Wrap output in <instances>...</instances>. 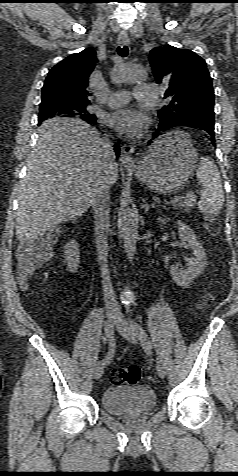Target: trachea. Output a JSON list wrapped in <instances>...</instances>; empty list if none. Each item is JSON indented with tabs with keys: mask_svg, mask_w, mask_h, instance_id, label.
Listing matches in <instances>:
<instances>
[{
	"mask_svg": "<svg viewBox=\"0 0 238 476\" xmlns=\"http://www.w3.org/2000/svg\"><path fill=\"white\" fill-rule=\"evenodd\" d=\"M128 47L127 46H123L122 48L121 47H118L117 48V53L121 56V57H126L128 55Z\"/></svg>",
	"mask_w": 238,
	"mask_h": 476,
	"instance_id": "obj_1",
	"label": "trachea"
}]
</instances>
